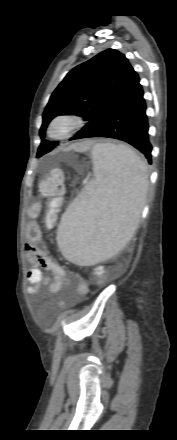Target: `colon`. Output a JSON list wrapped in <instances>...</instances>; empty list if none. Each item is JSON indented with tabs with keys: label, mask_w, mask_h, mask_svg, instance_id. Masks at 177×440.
I'll use <instances>...</instances> for the list:
<instances>
[{
	"label": "colon",
	"mask_w": 177,
	"mask_h": 440,
	"mask_svg": "<svg viewBox=\"0 0 177 440\" xmlns=\"http://www.w3.org/2000/svg\"><path fill=\"white\" fill-rule=\"evenodd\" d=\"M39 191L48 201L43 219L45 222H50L65 192L62 169L52 168L41 181Z\"/></svg>",
	"instance_id": "obj_1"
}]
</instances>
